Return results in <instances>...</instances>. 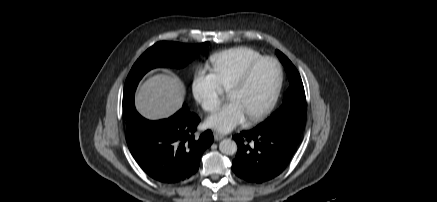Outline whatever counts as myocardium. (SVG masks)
I'll use <instances>...</instances> for the list:
<instances>
[{
	"label": "myocardium",
	"instance_id": "1",
	"mask_svg": "<svg viewBox=\"0 0 437 202\" xmlns=\"http://www.w3.org/2000/svg\"><path fill=\"white\" fill-rule=\"evenodd\" d=\"M265 61H272L276 65L277 71H278L277 81H276L272 96H271L270 100L268 101V103L258 113L248 117V122H250V123H255V122H258V121L264 119L275 107V105L278 101L280 92H281L282 84H283L284 74H283L282 65L280 64L278 59H276L275 57L262 56L256 60L252 61L245 68V70L242 72V74L237 78V80L233 83V85L229 89V94H230L231 92L246 85L247 82L250 80L254 70L257 68V66Z\"/></svg>",
	"mask_w": 437,
	"mask_h": 202
}]
</instances>
